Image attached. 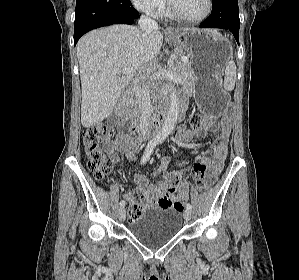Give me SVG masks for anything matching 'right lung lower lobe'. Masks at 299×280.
Returning <instances> with one entry per match:
<instances>
[{
  "mask_svg": "<svg viewBox=\"0 0 299 280\" xmlns=\"http://www.w3.org/2000/svg\"><path fill=\"white\" fill-rule=\"evenodd\" d=\"M138 17L130 0H76L74 46L90 30L111 24H132Z\"/></svg>",
  "mask_w": 299,
  "mask_h": 280,
  "instance_id": "1",
  "label": "right lung lower lobe"
}]
</instances>
